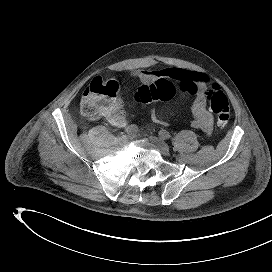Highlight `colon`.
<instances>
[{"label":"colon","mask_w":272,"mask_h":272,"mask_svg":"<svg viewBox=\"0 0 272 272\" xmlns=\"http://www.w3.org/2000/svg\"><path fill=\"white\" fill-rule=\"evenodd\" d=\"M176 92V85L165 79H158L141 86L135 94L139 103H150L157 100H170ZM219 127H225L230 119V105L224 92L217 85L206 88L204 92ZM120 97L119 85L113 80L94 78L85 89L81 103V113L95 119L110 116L114 113Z\"/></svg>","instance_id":"colon-1"}]
</instances>
